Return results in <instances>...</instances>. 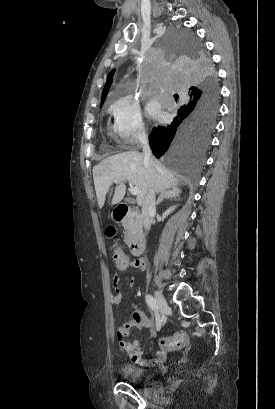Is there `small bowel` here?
Listing matches in <instances>:
<instances>
[{
    "label": "small bowel",
    "mask_w": 275,
    "mask_h": 409,
    "mask_svg": "<svg viewBox=\"0 0 275 409\" xmlns=\"http://www.w3.org/2000/svg\"><path fill=\"white\" fill-rule=\"evenodd\" d=\"M142 263L138 261H133L129 260L128 263L125 265V270L129 268H142ZM112 278L114 279L113 282V287L117 288L115 292V297L113 298V303L115 304H120L122 302V293L120 290V275L118 273H114L112 275ZM128 283L130 286H134L135 283V278L134 277H129L128 278ZM133 305V304H132ZM135 308L130 311V316L134 319H128L127 320V325H122L120 327V331L118 332V340L120 342V348L122 351H130L131 353V358L133 361H135L137 364L141 366H153L159 363H163L166 360V351L164 349H161L157 352V355L155 358H146L143 353L139 350L138 348V339L136 337H131L130 339L128 337H125V334L129 332V328H149L153 325V321L146 317L143 313H139V303L135 302L134 303ZM144 318V319H142Z\"/></svg>",
    "instance_id": "obj_1"
}]
</instances>
